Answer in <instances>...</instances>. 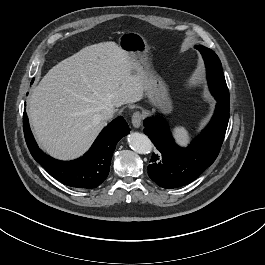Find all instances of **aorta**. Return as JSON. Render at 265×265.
Segmentation results:
<instances>
[{
    "mask_svg": "<svg viewBox=\"0 0 265 265\" xmlns=\"http://www.w3.org/2000/svg\"><path fill=\"white\" fill-rule=\"evenodd\" d=\"M127 140L131 149L139 154H148L152 150L153 144L145 134L133 132L128 135Z\"/></svg>",
    "mask_w": 265,
    "mask_h": 265,
    "instance_id": "1",
    "label": "aorta"
}]
</instances>
